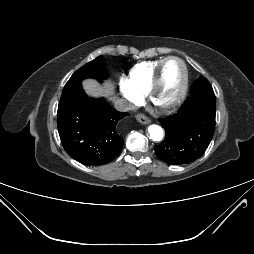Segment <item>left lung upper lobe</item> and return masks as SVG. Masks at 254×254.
<instances>
[{
	"mask_svg": "<svg viewBox=\"0 0 254 254\" xmlns=\"http://www.w3.org/2000/svg\"><path fill=\"white\" fill-rule=\"evenodd\" d=\"M189 98H211L215 99L213 88L209 81L200 76L191 86Z\"/></svg>",
	"mask_w": 254,
	"mask_h": 254,
	"instance_id": "obj_1",
	"label": "left lung upper lobe"
}]
</instances>
